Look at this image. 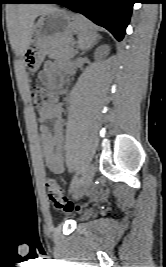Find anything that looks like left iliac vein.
<instances>
[{
    "mask_svg": "<svg viewBox=\"0 0 166 267\" xmlns=\"http://www.w3.org/2000/svg\"><path fill=\"white\" fill-rule=\"evenodd\" d=\"M94 172H95L94 165L89 164L87 166V168L85 169L81 179L79 180V182H78V184L74 190V193H73L74 199L77 200V199L81 198L87 192V190L89 189V187L92 184Z\"/></svg>",
    "mask_w": 166,
    "mask_h": 267,
    "instance_id": "obj_1",
    "label": "left iliac vein"
}]
</instances>
